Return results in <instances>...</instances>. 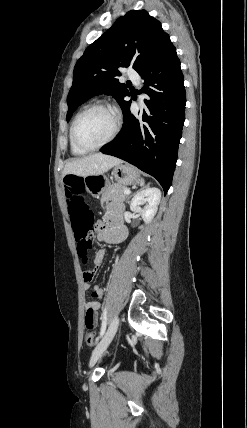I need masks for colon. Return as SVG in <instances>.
Segmentation results:
<instances>
[{"mask_svg":"<svg viewBox=\"0 0 247 428\" xmlns=\"http://www.w3.org/2000/svg\"><path fill=\"white\" fill-rule=\"evenodd\" d=\"M64 189L67 196L66 211L72 217V225L75 238L78 242L77 250L83 263H87V253L92 247L90 235L93 229L92 210L84 199V183L77 176L69 175L64 178ZM88 307L87 318L84 320L87 333L84 341L87 345L93 346L95 343L94 330L99 323L101 314L100 303L97 300H86Z\"/></svg>","mask_w":247,"mask_h":428,"instance_id":"colon-1","label":"colon"}]
</instances>
